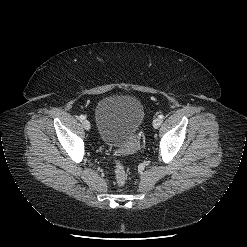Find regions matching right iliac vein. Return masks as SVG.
Masks as SVG:
<instances>
[{
    "label": "right iliac vein",
    "instance_id": "1",
    "mask_svg": "<svg viewBox=\"0 0 247 247\" xmlns=\"http://www.w3.org/2000/svg\"><path fill=\"white\" fill-rule=\"evenodd\" d=\"M82 124H83V127H84L86 130H90L91 124H90V122H89L87 119H85V120L82 122Z\"/></svg>",
    "mask_w": 247,
    "mask_h": 247
}]
</instances>
